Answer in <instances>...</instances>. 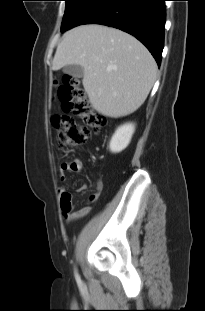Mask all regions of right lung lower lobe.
Instances as JSON below:
<instances>
[{"label": "right lung lower lobe", "mask_w": 205, "mask_h": 311, "mask_svg": "<svg viewBox=\"0 0 205 311\" xmlns=\"http://www.w3.org/2000/svg\"><path fill=\"white\" fill-rule=\"evenodd\" d=\"M166 0H91L73 28L102 24L123 30L141 41L161 63L164 46Z\"/></svg>", "instance_id": "98d812e1"}]
</instances>
